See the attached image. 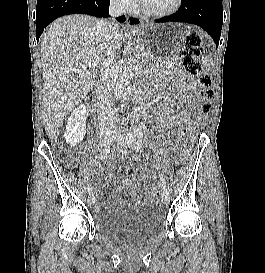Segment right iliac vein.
<instances>
[{"label":"right iliac vein","instance_id":"obj_1","mask_svg":"<svg viewBox=\"0 0 265 273\" xmlns=\"http://www.w3.org/2000/svg\"><path fill=\"white\" fill-rule=\"evenodd\" d=\"M114 137L111 133H108L107 135L104 136L103 138V143L106 146L111 145L114 142ZM95 201V197L93 194H89L88 198H87V202L89 205H92Z\"/></svg>","mask_w":265,"mask_h":273}]
</instances>
